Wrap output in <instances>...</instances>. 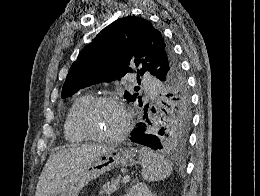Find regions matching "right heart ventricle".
I'll list each match as a JSON object with an SVG mask.
<instances>
[{"label": "right heart ventricle", "mask_w": 260, "mask_h": 196, "mask_svg": "<svg viewBox=\"0 0 260 196\" xmlns=\"http://www.w3.org/2000/svg\"><path fill=\"white\" fill-rule=\"evenodd\" d=\"M90 94L79 95L74 103L72 104L70 110L67 113L63 133L64 137L72 145L79 144L86 140V138L79 132L76 126V116L78 111L91 99Z\"/></svg>", "instance_id": "e07e8e85"}]
</instances>
